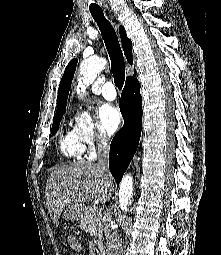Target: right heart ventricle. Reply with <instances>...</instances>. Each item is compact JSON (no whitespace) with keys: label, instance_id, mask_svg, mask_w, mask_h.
Returning <instances> with one entry per match:
<instances>
[{"label":"right heart ventricle","instance_id":"1","mask_svg":"<svg viewBox=\"0 0 221 255\" xmlns=\"http://www.w3.org/2000/svg\"><path fill=\"white\" fill-rule=\"evenodd\" d=\"M59 147L61 153L68 158H80L85 151V147L80 141L75 129H68L62 134Z\"/></svg>","mask_w":221,"mask_h":255}]
</instances>
